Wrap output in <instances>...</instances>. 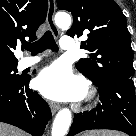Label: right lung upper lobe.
<instances>
[{"instance_id":"cb5924a9","label":"right lung upper lobe","mask_w":136,"mask_h":136,"mask_svg":"<svg viewBox=\"0 0 136 136\" xmlns=\"http://www.w3.org/2000/svg\"><path fill=\"white\" fill-rule=\"evenodd\" d=\"M47 7V0H0V64L18 63L13 50L25 37L37 39Z\"/></svg>"}]
</instances>
